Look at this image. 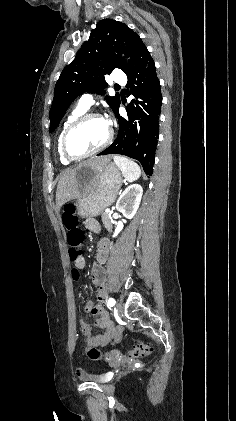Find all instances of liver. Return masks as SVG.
<instances>
[{"mask_svg": "<svg viewBox=\"0 0 236 421\" xmlns=\"http://www.w3.org/2000/svg\"><path fill=\"white\" fill-rule=\"evenodd\" d=\"M111 158H114L113 154H107V156H94L84 162H79L76 168H68L65 172H62L59 176V182L56 188V208L60 211L62 204H65L67 200L76 198L78 196V180L76 172L82 164H90V166H106L109 164Z\"/></svg>", "mask_w": 236, "mask_h": 421, "instance_id": "1", "label": "liver"}]
</instances>
